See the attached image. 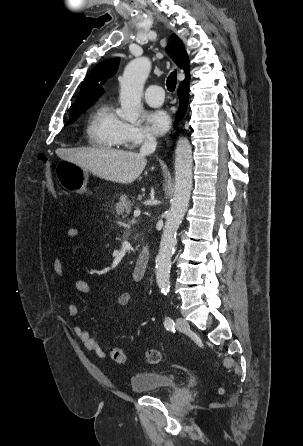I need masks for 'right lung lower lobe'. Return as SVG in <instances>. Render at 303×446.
Instances as JSON below:
<instances>
[{
	"label": "right lung lower lobe",
	"instance_id": "98d812e1",
	"mask_svg": "<svg viewBox=\"0 0 303 446\" xmlns=\"http://www.w3.org/2000/svg\"><path fill=\"white\" fill-rule=\"evenodd\" d=\"M189 80L186 82H182L178 88V96L180 100V106L177 112L176 121H179L183 118L186 113L187 105H188V96H189Z\"/></svg>",
	"mask_w": 303,
	"mask_h": 446
}]
</instances>
